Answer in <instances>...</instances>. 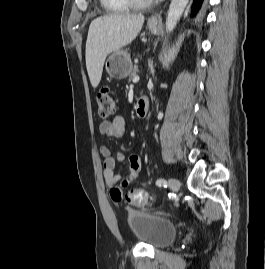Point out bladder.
<instances>
[{
  "mask_svg": "<svg viewBox=\"0 0 265 269\" xmlns=\"http://www.w3.org/2000/svg\"><path fill=\"white\" fill-rule=\"evenodd\" d=\"M126 223L135 238L153 248L170 245L178 234L177 226L171 221L140 209L129 210Z\"/></svg>",
  "mask_w": 265,
  "mask_h": 269,
  "instance_id": "obj_1",
  "label": "bladder"
}]
</instances>
